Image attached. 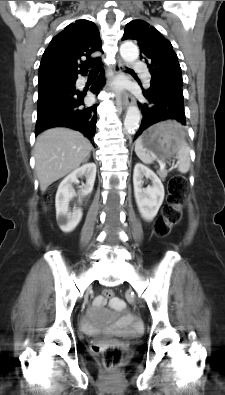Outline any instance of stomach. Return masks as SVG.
<instances>
[{"mask_svg":"<svg viewBox=\"0 0 225 395\" xmlns=\"http://www.w3.org/2000/svg\"><path fill=\"white\" fill-rule=\"evenodd\" d=\"M141 140L148 152L158 157H170L180 149L184 131L176 121L167 120L145 131Z\"/></svg>","mask_w":225,"mask_h":395,"instance_id":"1","label":"stomach"}]
</instances>
